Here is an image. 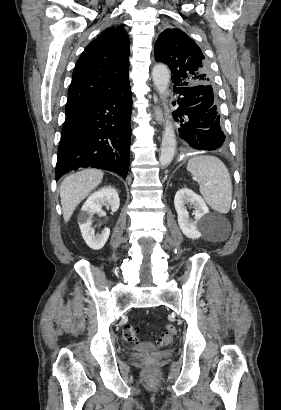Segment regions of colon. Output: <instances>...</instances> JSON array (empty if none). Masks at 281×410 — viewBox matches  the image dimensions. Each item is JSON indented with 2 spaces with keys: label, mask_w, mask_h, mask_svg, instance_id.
Here are the masks:
<instances>
[{
  "label": "colon",
  "mask_w": 281,
  "mask_h": 410,
  "mask_svg": "<svg viewBox=\"0 0 281 410\" xmlns=\"http://www.w3.org/2000/svg\"><path fill=\"white\" fill-rule=\"evenodd\" d=\"M176 333V328L172 324H168L165 328V332L158 339L157 343L160 345L170 344L173 340V337ZM122 335L125 341L127 342H136L138 340V330L135 326L127 324L123 327ZM152 358H149L148 361L152 362Z\"/></svg>",
  "instance_id": "1"
}]
</instances>
